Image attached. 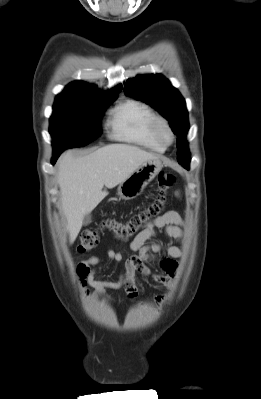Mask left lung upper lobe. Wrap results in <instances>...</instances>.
Wrapping results in <instances>:
<instances>
[{"instance_id": "left-lung-upper-lobe-1", "label": "left lung upper lobe", "mask_w": 261, "mask_h": 399, "mask_svg": "<svg viewBox=\"0 0 261 399\" xmlns=\"http://www.w3.org/2000/svg\"><path fill=\"white\" fill-rule=\"evenodd\" d=\"M124 91L138 100L154 106L171 124L177 135V160L181 165L190 163L185 136L189 130L185 100L171 83L160 74L138 75L127 80Z\"/></svg>"}]
</instances>
